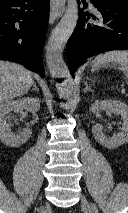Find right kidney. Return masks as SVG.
Here are the masks:
<instances>
[{
	"label": "right kidney",
	"mask_w": 128,
	"mask_h": 213,
	"mask_svg": "<svg viewBox=\"0 0 128 213\" xmlns=\"http://www.w3.org/2000/svg\"><path fill=\"white\" fill-rule=\"evenodd\" d=\"M40 108L38 98L24 97L17 100H10L0 105V140L11 147H20L31 137L30 128L23 129L19 134L11 132L12 123L7 121V114L11 111L16 113L22 112L24 109L35 113Z\"/></svg>",
	"instance_id": "right-kidney-1"
}]
</instances>
